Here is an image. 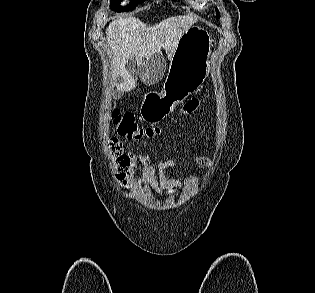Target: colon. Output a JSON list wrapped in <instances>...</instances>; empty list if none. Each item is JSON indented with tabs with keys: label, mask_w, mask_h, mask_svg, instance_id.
I'll return each instance as SVG.
<instances>
[{
	"label": "colon",
	"mask_w": 315,
	"mask_h": 293,
	"mask_svg": "<svg viewBox=\"0 0 315 293\" xmlns=\"http://www.w3.org/2000/svg\"><path fill=\"white\" fill-rule=\"evenodd\" d=\"M202 99L192 98L188 100L180 109L181 115H189L195 112ZM111 121L117 128L118 133L128 139L140 140L156 137L162 133V129L156 126L140 127L135 121L132 113H120L113 111L111 113ZM111 155L115 161L116 167L119 171H123L129 165L130 158L122 150L120 141L117 138H112L110 141ZM120 177L122 174L119 175Z\"/></svg>",
	"instance_id": "5ec220e1"
}]
</instances>
